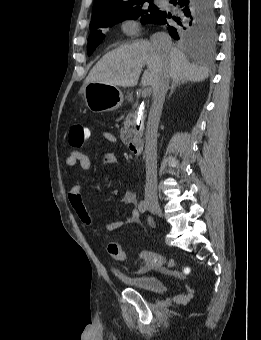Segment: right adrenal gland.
Wrapping results in <instances>:
<instances>
[{
  "label": "right adrenal gland",
  "instance_id": "2a0ac1e0",
  "mask_svg": "<svg viewBox=\"0 0 261 340\" xmlns=\"http://www.w3.org/2000/svg\"><path fill=\"white\" fill-rule=\"evenodd\" d=\"M182 84H184V83L183 82L172 81L171 87H170V93H169L168 98H170L171 95L173 94V92L176 90V88L181 86Z\"/></svg>",
  "mask_w": 261,
  "mask_h": 340
}]
</instances>
